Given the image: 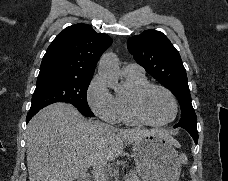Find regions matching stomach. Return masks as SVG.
Wrapping results in <instances>:
<instances>
[{
	"label": "stomach",
	"instance_id": "stomach-1",
	"mask_svg": "<svg viewBox=\"0 0 228 181\" xmlns=\"http://www.w3.org/2000/svg\"><path fill=\"white\" fill-rule=\"evenodd\" d=\"M132 151L141 181H179L181 161L169 137L145 135L133 143Z\"/></svg>",
	"mask_w": 228,
	"mask_h": 181
}]
</instances>
